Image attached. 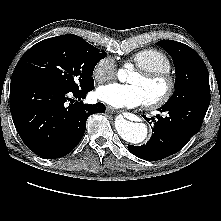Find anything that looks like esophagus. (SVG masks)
<instances>
[{"instance_id":"34e87169","label":"esophagus","mask_w":221,"mask_h":221,"mask_svg":"<svg viewBox=\"0 0 221 221\" xmlns=\"http://www.w3.org/2000/svg\"><path fill=\"white\" fill-rule=\"evenodd\" d=\"M107 112L113 114V113H115V112H117V113H122L123 111H121V110H115V109L112 108V107H107Z\"/></svg>"}]
</instances>
